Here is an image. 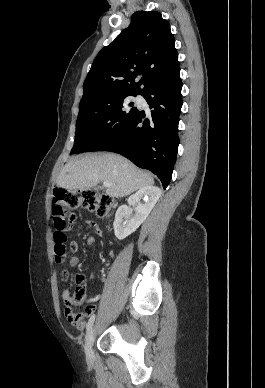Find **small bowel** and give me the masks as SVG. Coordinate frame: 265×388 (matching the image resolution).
Segmentation results:
<instances>
[{
  "label": "small bowel",
  "mask_w": 265,
  "mask_h": 388,
  "mask_svg": "<svg viewBox=\"0 0 265 388\" xmlns=\"http://www.w3.org/2000/svg\"><path fill=\"white\" fill-rule=\"evenodd\" d=\"M75 216H72V219H74ZM86 244L88 246H95L97 243H98V238L95 237V236H88L85 240ZM78 263V260L76 258H72L70 260V264L71 265H76ZM90 279L93 280L94 279V273H91L90 274ZM62 296H63V299L65 300V302L68 301V299L70 298V295H69V292L68 290H64L63 293H62ZM99 299V296H96L94 298L91 299L92 302H96L97 300ZM95 309V306L94 305H89L85 308L84 310V316H88V315H91L93 313ZM92 316V315H91ZM85 325H86V322L81 318V320L78 322L77 325H75V327L79 330H83L85 328Z\"/></svg>",
  "instance_id": "small-bowel-1"
}]
</instances>
